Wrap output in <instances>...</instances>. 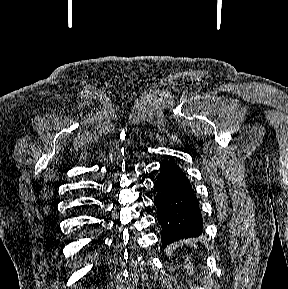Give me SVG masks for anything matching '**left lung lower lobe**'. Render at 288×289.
Segmentation results:
<instances>
[{
    "label": "left lung lower lobe",
    "mask_w": 288,
    "mask_h": 289,
    "mask_svg": "<svg viewBox=\"0 0 288 289\" xmlns=\"http://www.w3.org/2000/svg\"><path fill=\"white\" fill-rule=\"evenodd\" d=\"M154 187L163 248L180 239L198 237L203 228L199 203L180 167L171 161L163 163Z\"/></svg>",
    "instance_id": "1"
}]
</instances>
